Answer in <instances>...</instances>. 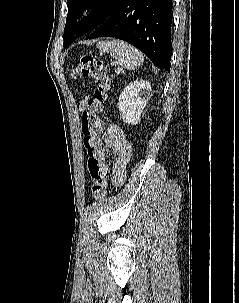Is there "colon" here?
<instances>
[{
	"label": "colon",
	"mask_w": 239,
	"mask_h": 303,
	"mask_svg": "<svg viewBox=\"0 0 239 303\" xmlns=\"http://www.w3.org/2000/svg\"><path fill=\"white\" fill-rule=\"evenodd\" d=\"M74 79L91 78L95 81L93 97L83 114L81 129L83 145L87 151V167L91 178V195L95 199H103L107 193L109 169L105 161L106 153L102 146L104 122L102 114L109 99L113 76L109 67L101 59L86 54L72 70Z\"/></svg>",
	"instance_id": "colon-1"
}]
</instances>
